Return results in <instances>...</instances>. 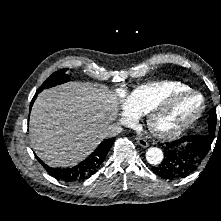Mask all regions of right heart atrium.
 <instances>
[{
    "label": "right heart atrium",
    "instance_id": "d8ad5b80",
    "mask_svg": "<svg viewBox=\"0 0 221 221\" xmlns=\"http://www.w3.org/2000/svg\"><path fill=\"white\" fill-rule=\"evenodd\" d=\"M138 116L135 115L134 113H132L126 106L125 104V100H124V104H123V108H122V112L118 118V123L120 125H124V126H131L133 125L136 120H137Z\"/></svg>",
    "mask_w": 221,
    "mask_h": 221
}]
</instances>
